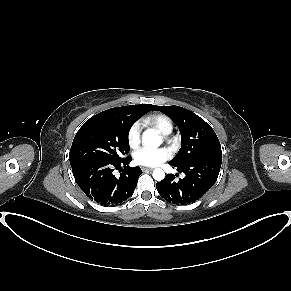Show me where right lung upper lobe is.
I'll use <instances>...</instances> for the list:
<instances>
[{"instance_id": "right-lung-upper-lobe-1", "label": "right lung upper lobe", "mask_w": 291, "mask_h": 291, "mask_svg": "<svg viewBox=\"0 0 291 291\" xmlns=\"http://www.w3.org/2000/svg\"><path fill=\"white\" fill-rule=\"evenodd\" d=\"M155 107H156L155 105H151V104H140V105L122 106L119 108L125 109L130 113V115L140 118L145 113L149 112L150 110L155 109ZM112 109H115V108H112Z\"/></svg>"}]
</instances>
